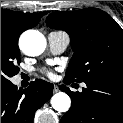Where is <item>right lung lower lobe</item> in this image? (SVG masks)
Returning <instances> with one entry per match:
<instances>
[{
    "instance_id": "1",
    "label": "right lung lower lobe",
    "mask_w": 123,
    "mask_h": 123,
    "mask_svg": "<svg viewBox=\"0 0 123 123\" xmlns=\"http://www.w3.org/2000/svg\"><path fill=\"white\" fill-rule=\"evenodd\" d=\"M53 85L41 79L24 90L1 83V123H32L35 112L52 96Z\"/></svg>"
}]
</instances>
